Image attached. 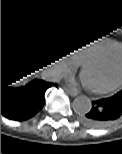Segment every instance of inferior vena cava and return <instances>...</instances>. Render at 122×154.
Here are the masks:
<instances>
[{
    "label": "inferior vena cava",
    "mask_w": 122,
    "mask_h": 154,
    "mask_svg": "<svg viewBox=\"0 0 122 154\" xmlns=\"http://www.w3.org/2000/svg\"><path fill=\"white\" fill-rule=\"evenodd\" d=\"M42 78L46 81H58L59 75L56 73V71L48 70L47 67H44L42 69Z\"/></svg>",
    "instance_id": "inferior-vena-cava-1"
}]
</instances>
